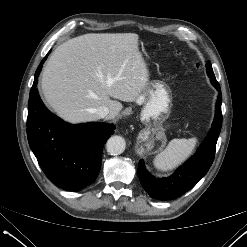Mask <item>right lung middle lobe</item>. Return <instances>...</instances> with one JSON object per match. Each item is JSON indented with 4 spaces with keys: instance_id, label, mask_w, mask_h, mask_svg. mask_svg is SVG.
I'll return each mask as SVG.
<instances>
[{
    "instance_id": "dd1d6c3e",
    "label": "right lung middle lobe",
    "mask_w": 247,
    "mask_h": 247,
    "mask_svg": "<svg viewBox=\"0 0 247 247\" xmlns=\"http://www.w3.org/2000/svg\"><path fill=\"white\" fill-rule=\"evenodd\" d=\"M39 67H40V69H41V67H42V66H41V65H39ZM39 67H38V68H39ZM38 74H39V72H38Z\"/></svg>"
}]
</instances>
